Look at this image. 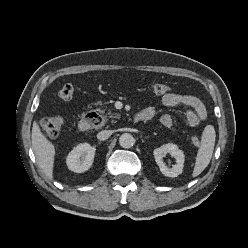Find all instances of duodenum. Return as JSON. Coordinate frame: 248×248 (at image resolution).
Segmentation results:
<instances>
[{"instance_id": "duodenum-1", "label": "duodenum", "mask_w": 248, "mask_h": 248, "mask_svg": "<svg viewBox=\"0 0 248 248\" xmlns=\"http://www.w3.org/2000/svg\"><path fill=\"white\" fill-rule=\"evenodd\" d=\"M134 121L135 122L148 121V117H145L139 113L134 116ZM99 123H100V117L97 113H86L79 119L77 126L81 132H86L91 128L99 125Z\"/></svg>"}]
</instances>
